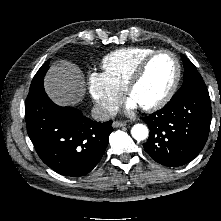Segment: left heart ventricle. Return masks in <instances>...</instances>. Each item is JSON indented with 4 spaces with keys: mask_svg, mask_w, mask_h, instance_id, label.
Here are the masks:
<instances>
[{
    "mask_svg": "<svg viewBox=\"0 0 221 221\" xmlns=\"http://www.w3.org/2000/svg\"><path fill=\"white\" fill-rule=\"evenodd\" d=\"M175 75V63L168 54L155 57L141 82L134 89L131 98L139 105L153 103L160 99L170 87Z\"/></svg>",
    "mask_w": 221,
    "mask_h": 221,
    "instance_id": "left-heart-ventricle-1",
    "label": "left heart ventricle"
}]
</instances>
